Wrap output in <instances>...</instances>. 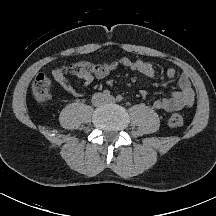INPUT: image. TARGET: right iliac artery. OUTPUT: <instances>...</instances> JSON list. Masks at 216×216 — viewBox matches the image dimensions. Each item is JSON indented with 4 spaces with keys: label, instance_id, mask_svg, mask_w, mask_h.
<instances>
[{
    "label": "right iliac artery",
    "instance_id": "82829eb1",
    "mask_svg": "<svg viewBox=\"0 0 216 216\" xmlns=\"http://www.w3.org/2000/svg\"><path fill=\"white\" fill-rule=\"evenodd\" d=\"M103 96H104L105 98L110 97V91H109V90H104V91H103Z\"/></svg>",
    "mask_w": 216,
    "mask_h": 216
}]
</instances>
